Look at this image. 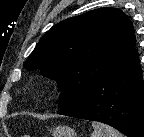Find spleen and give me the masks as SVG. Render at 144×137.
I'll return each instance as SVG.
<instances>
[{"label":"spleen","instance_id":"obj_1","mask_svg":"<svg viewBox=\"0 0 144 137\" xmlns=\"http://www.w3.org/2000/svg\"><path fill=\"white\" fill-rule=\"evenodd\" d=\"M92 126L94 131L92 132L91 137H123L119 131L109 125L93 122Z\"/></svg>","mask_w":144,"mask_h":137}]
</instances>
